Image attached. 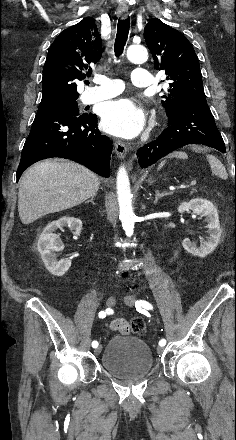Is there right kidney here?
I'll return each instance as SVG.
<instances>
[{
  "label": "right kidney",
  "instance_id": "ca27d5eb",
  "mask_svg": "<svg viewBox=\"0 0 236 440\" xmlns=\"http://www.w3.org/2000/svg\"><path fill=\"white\" fill-rule=\"evenodd\" d=\"M63 227H68L75 235L79 236L82 230V221L74 217H62L49 223L40 234L37 244L45 267L54 276L64 275L71 267V259L57 260L55 253L64 249L60 236L54 233L55 230Z\"/></svg>",
  "mask_w": 236,
  "mask_h": 440
}]
</instances>
